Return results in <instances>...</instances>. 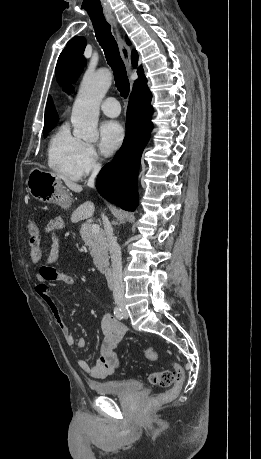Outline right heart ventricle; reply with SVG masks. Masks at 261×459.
Returning <instances> with one entry per match:
<instances>
[{
	"label": "right heart ventricle",
	"instance_id": "e07e8e85",
	"mask_svg": "<svg viewBox=\"0 0 261 459\" xmlns=\"http://www.w3.org/2000/svg\"><path fill=\"white\" fill-rule=\"evenodd\" d=\"M82 144L80 139L71 134L68 125L59 126L48 142V166L64 178L79 179L78 157Z\"/></svg>",
	"mask_w": 261,
	"mask_h": 459
}]
</instances>
